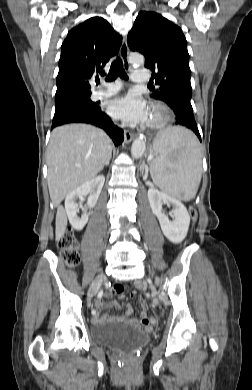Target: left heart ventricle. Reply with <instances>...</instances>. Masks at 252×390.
<instances>
[{"label":"left heart ventricle","instance_id":"obj_1","mask_svg":"<svg viewBox=\"0 0 252 390\" xmlns=\"http://www.w3.org/2000/svg\"><path fill=\"white\" fill-rule=\"evenodd\" d=\"M156 118H157V114L154 113L153 111H151V112L149 113L148 122H149V121H152V120H154V119H156Z\"/></svg>","mask_w":252,"mask_h":390}]
</instances>
